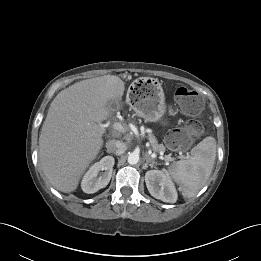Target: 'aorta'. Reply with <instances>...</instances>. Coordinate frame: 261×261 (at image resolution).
<instances>
[{
	"mask_svg": "<svg viewBox=\"0 0 261 261\" xmlns=\"http://www.w3.org/2000/svg\"><path fill=\"white\" fill-rule=\"evenodd\" d=\"M139 162V155L137 153H131L129 156H128V163L130 165H135Z\"/></svg>",
	"mask_w": 261,
	"mask_h": 261,
	"instance_id": "aorta-1",
	"label": "aorta"
}]
</instances>
